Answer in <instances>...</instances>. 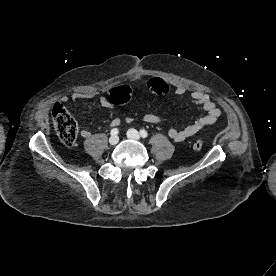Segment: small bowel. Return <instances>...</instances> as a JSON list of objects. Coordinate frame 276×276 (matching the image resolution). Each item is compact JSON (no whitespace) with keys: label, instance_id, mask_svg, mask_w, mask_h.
<instances>
[{"label":"small bowel","instance_id":"small-bowel-1","mask_svg":"<svg viewBox=\"0 0 276 276\" xmlns=\"http://www.w3.org/2000/svg\"><path fill=\"white\" fill-rule=\"evenodd\" d=\"M127 89L131 90L129 87ZM148 90L152 93L164 94L168 91V87L162 91L158 92L150 88L148 83ZM174 93L178 96L184 95L186 93V88L184 86H176L174 88ZM98 98L100 104L105 108H113L112 103L107 100V98L103 96H98L95 92L92 91H80L74 92L70 99L72 101H78L82 99H96ZM69 97L63 96L61 98L62 102H68ZM190 100L193 104L198 105L206 114L192 122L191 124L185 126L182 129L171 128L168 130V136L175 142H183L186 139L192 137L196 133L200 132L207 126H210L218 121L221 117V110L218 108L217 104L211 99V97L202 91H193L190 94ZM135 120L134 117L125 118L126 122H133ZM142 120L149 124H160L162 122V118L156 114L147 113L144 114ZM121 123L120 117H115L111 120L110 125L112 127H117ZM81 136L85 139L91 136V131L88 129H83L81 131Z\"/></svg>","mask_w":276,"mask_h":276}]
</instances>
